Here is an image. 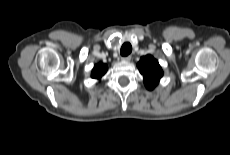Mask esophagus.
Returning <instances> with one entry per match:
<instances>
[{
    "label": "esophagus",
    "instance_id": "esophagus-1",
    "mask_svg": "<svg viewBox=\"0 0 230 155\" xmlns=\"http://www.w3.org/2000/svg\"><path fill=\"white\" fill-rule=\"evenodd\" d=\"M131 60V56H126V57H122V61H130Z\"/></svg>",
    "mask_w": 230,
    "mask_h": 155
}]
</instances>
